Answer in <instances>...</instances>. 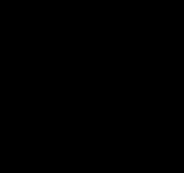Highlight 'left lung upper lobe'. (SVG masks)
Segmentation results:
<instances>
[{
	"instance_id": "1",
	"label": "left lung upper lobe",
	"mask_w": 184,
	"mask_h": 173,
	"mask_svg": "<svg viewBox=\"0 0 184 173\" xmlns=\"http://www.w3.org/2000/svg\"><path fill=\"white\" fill-rule=\"evenodd\" d=\"M121 105L124 127L149 144H157L168 118L166 92L151 62L137 50L124 58Z\"/></svg>"
}]
</instances>
